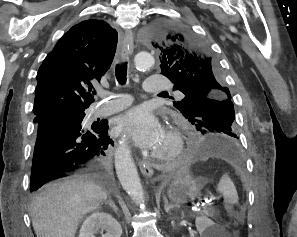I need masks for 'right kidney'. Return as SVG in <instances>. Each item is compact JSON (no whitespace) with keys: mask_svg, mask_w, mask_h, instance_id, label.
Wrapping results in <instances>:
<instances>
[{"mask_svg":"<svg viewBox=\"0 0 297 237\" xmlns=\"http://www.w3.org/2000/svg\"><path fill=\"white\" fill-rule=\"evenodd\" d=\"M101 230L102 237H121L122 228L119 222L106 212H95L90 215L80 229L79 237H96ZM103 230L106 231L103 234Z\"/></svg>","mask_w":297,"mask_h":237,"instance_id":"1","label":"right kidney"}]
</instances>
